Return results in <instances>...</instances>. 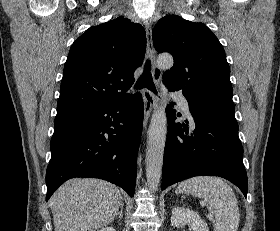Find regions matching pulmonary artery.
I'll return each mask as SVG.
<instances>
[{
    "label": "pulmonary artery",
    "instance_id": "e3ab8cb5",
    "mask_svg": "<svg viewBox=\"0 0 280 231\" xmlns=\"http://www.w3.org/2000/svg\"><path fill=\"white\" fill-rule=\"evenodd\" d=\"M170 96L177 101L178 105H189L186 97L183 95L182 92H173ZM182 113H191L190 110H181ZM189 122H193V118H187Z\"/></svg>",
    "mask_w": 280,
    "mask_h": 231
}]
</instances>
